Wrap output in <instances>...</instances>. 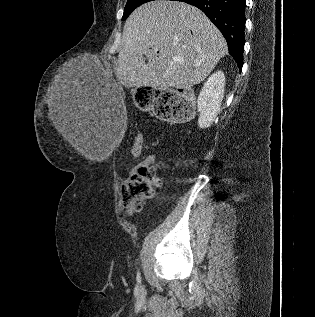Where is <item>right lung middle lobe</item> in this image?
<instances>
[{
	"instance_id": "right-lung-middle-lobe-1",
	"label": "right lung middle lobe",
	"mask_w": 315,
	"mask_h": 317,
	"mask_svg": "<svg viewBox=\"0 0 315 317\" xmlns=\"http://www.w3.org/2000/svg\"><path fill=\"white\" fill-rule=\"evenodd\" d=\"M153 0H127L122 20H125L138 6Z\"/></svg>"
}]
</instances>
